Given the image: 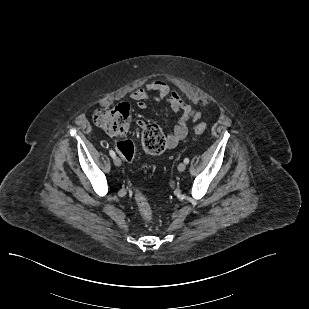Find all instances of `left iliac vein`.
<instances>
[{"label":"left iliac vein","instance_id":"left-iliac-vein-1","mask_svg":"<svg viewBox=\"0 0 309 309\" xmlns=\"http://www.w3.org/2000/svg\"><path fill=\"white\" fill-rule=\"evenodd\" d=\"M186 169V164L185 163H180L178 165V171L183 172Z\"/></svg>","mask_w":309,"mask_h":309}]
</instances>
